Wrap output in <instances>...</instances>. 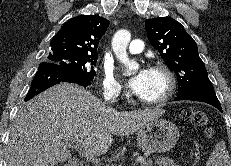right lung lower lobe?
I'll return each instance as SVG.
<instances>
[{
  "label": "right lung lower lobe",
  "instance_id": "1",
  "mask_svg": "<svg viewBox=\"0 0 231 166\" xmlns=\"http://www.w3.org/2000/svg\"><path fill=\"white\" fill-rule=\"evenodd\" d=\"M60 82L76 83L84 87L92 84L91 80L83 77L82 75L52 63L42 62L40 63L38 71L32 80L31 87L25 97V101L30 100L37 94L43 92L49 87L59 84Z\"/></svg>",
  "mask_w": 231,
  "mask_h": 166
}]
</instances>
